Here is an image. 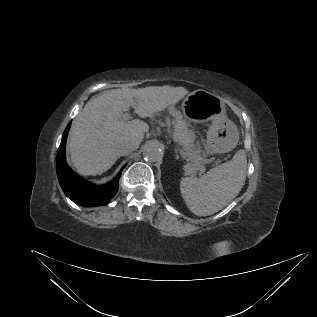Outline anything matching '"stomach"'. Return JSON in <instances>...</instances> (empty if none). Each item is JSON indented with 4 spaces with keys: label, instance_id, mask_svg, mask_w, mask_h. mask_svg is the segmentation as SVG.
<instances>
[{
    "label": "stomach",
    "instance_id": "obj_1",
    "mask_svg": "<svg viewBox=\"0 0 317 317\" xmlns=\"http://www.w3.org/2000/svg\"><path fill=\"white\" fill-rule=\"evenodd\" d=\"M185 102H194L202 109V121H210L207 132L206 151L225 153L236 147L239 132L236 125L225 116V105L221 97L205 90H196L188 95Z\"/></svg>",
    "mask_w": 317,
    "mask_h": 317
}]
</instances>
